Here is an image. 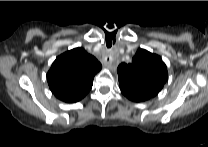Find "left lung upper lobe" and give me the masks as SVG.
<instances>
[{"label": "left lung upper lobe", "instance_id": "obj_1", "mask_svg": "<svg viewBox=\"0 0 208 147\" xmlns=\"http://www.w3.org/2000/svg\"><path fill=\"white\" fill-rule=\"evenodd\" d=\"M117 72L122 92L139 93L148 99L159 93L168 78L161 57L144 49H138L131 63H121Z\"/></svg>", "mask_w": 208, "mask_h": 147}]
</instances>
